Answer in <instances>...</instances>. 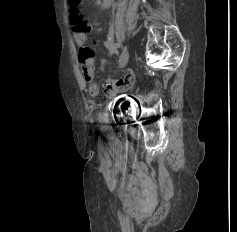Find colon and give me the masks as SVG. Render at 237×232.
Instances as JSON below:
<instances>
[{"instance_id":"obj_1","label":"colon","mask_w":237,"mask_h":232,"mask_svg":"<svg viewBox=\"0 0 237 232\" xmlns=\"http://www.w3.org/2000/svg\"><path fill=\"white\" fill-rule=\"evenodd\" d=\"M70 1V20L71 26L75 33H87L90 30V26L85 22L83 18L81 0H69Z\"/></svg>"}]
</instances>
